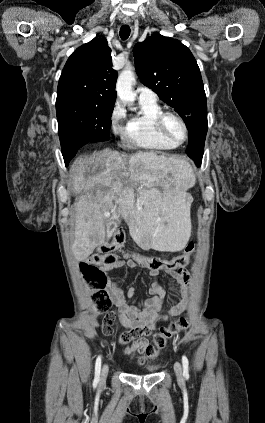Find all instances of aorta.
I'll return each instance as SVG.
<instances>
[{"label": "aorta", "instance_id": "aorta-1", "mask_svg": "<svg viewBox=\"0 0 265 423\" xmlns=\"http://www.w3.org/2000/svg\"><path fill=\"white\" fill-rule=\"evenodd\" d=\"M134 82V73L132 68L128 66L119 74L116 83L117 95L125 103H133L135 101V93L132 90Z\"/></svg>", "mask_w": 265, "mask_h": 423}]
</instances>
